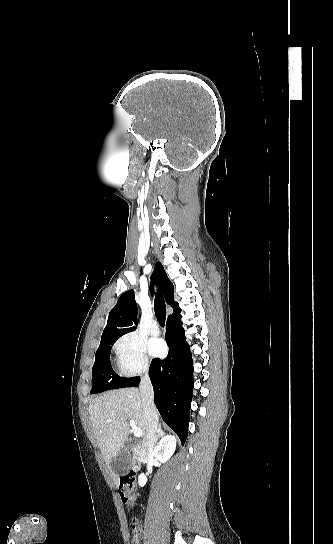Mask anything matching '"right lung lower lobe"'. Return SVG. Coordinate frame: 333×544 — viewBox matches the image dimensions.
Returning <instances> with one entry per match:
<instances>
[{
  "mask_svg": "<svg viewBox=\"0 0 333 544\" xmlns=\"http://www.w3.org/2000/svg\"><path fill=\"white\" fill-rule=\"evenodd\" d=\"M180 313L168 317L167 358L152 360L149 375L154 389V401L162 419L177 433L184 444L190 419L193 395V361L184 336ZM140 378L129 387L139 385Z\"/></svg>",
  "mask_w": 333,
  "mask_h": 544,
  "instance_id": "right-lung-lower-lobe-1",
  "label": "right lung lower lobe"
}]
</instances>
